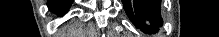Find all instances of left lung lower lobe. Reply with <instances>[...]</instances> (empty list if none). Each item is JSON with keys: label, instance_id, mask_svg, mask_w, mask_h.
Wrapping results in <instances>:
<instances>
[{"label": "left lung lower lobe", "instance_id": "obj_1", "mask_svg": "<svg viewBox=\"0 0 219 37\" xmlns=\"http://www.w3.org/2000/svg\"><path fill=\"white\" fill-rule=\"evenodd\" d=\"M130 20L142 31L155 33L162 26L160 0H123Z\"/></svg>", "mask_w": 219, "mask_h": 37}]
</instances>
